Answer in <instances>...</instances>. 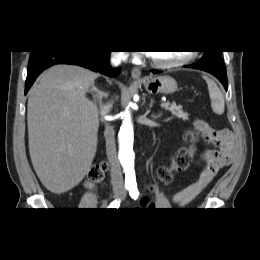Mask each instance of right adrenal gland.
<instances>
[{"instance_id": "1", "label": "right adrenal gland", "mask_w": 260, "mask_h": 260, "mask_svg": "<svg viewBox=\"0 0 260 260\" xmlns=\"http://www.w3.org/2000/svg\"><path fill=\"white\" fill-rule=\"evenodd\" d=\"M89 91L92 94L94 101L98 102L99 105H101L103 98L108 97V93L98 89L94 84H92V87Z\"/></svg>"}]
</instances>
